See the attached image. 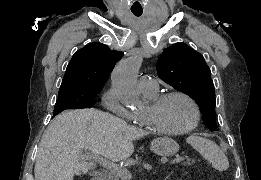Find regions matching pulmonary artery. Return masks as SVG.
Listing matches in <instances>:
<instances>
[{
    "mask_svg": "<svg viewBox=\"0 0 261 180\" xmlns=\"http://www.w3.org/2000/svg\"><path fill=\"white\" fill-rule=\"evenodd\" d=\"M139 86L143 92H154L158 83L151 75L143 74L139 78Z\"/></svg>",
    "mask_w": 261,
    "mask_h": 180,
    "instance_id": "pulmonary-artery-1",
    "label": "pulmonary artery"
}]
</instances>
